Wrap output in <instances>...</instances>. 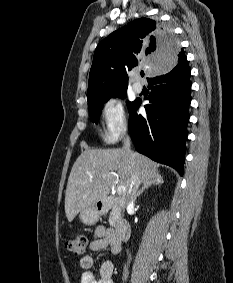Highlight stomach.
<instances>
[{"mask_svg": "<svg viewBox=\"0 0 233 283\" xmlns=\"http://www.w3.org/2000/svg\"><path fill=\"white\" fill-rule=\"evenodd\" d=\"M101 215V211L95 206H89L80 211L79 218L86 225L95 224Z\"/></svg>", "mask_w": 233, "mask_h": 283, "instance_id": "stomach-1", "label": "stomach"}]
</instances>
